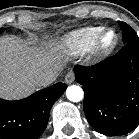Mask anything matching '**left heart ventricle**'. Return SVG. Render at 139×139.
<instances>
[{
  "label": "left heart ventricle",
  "instance_id": "obj_1",
  "mask_svg": "<svg viewBox=\"0 0 139 139\" xmlns=\"http://www.w3.org/2000/svg\"><path fill=\"white\" fill-rule=\"evenodd\" d=\"M113 40H114V34L112 32H109L105 35V37L103 39V44L109 45L113 42Z\"/></svg>",
  "mask_w": 139,
  "mask_h": 139
}]
</instances>
